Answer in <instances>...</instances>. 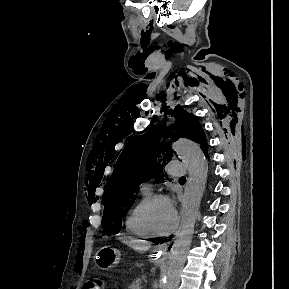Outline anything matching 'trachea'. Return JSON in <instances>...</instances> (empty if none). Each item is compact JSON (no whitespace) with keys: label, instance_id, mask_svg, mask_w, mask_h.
<instances>
[{"label":"trachea","instance_id":"trachea-1","mask_svg":"<svg viewBox=\"0 0 289 289\" xmlns=\"http://www.w3.org/2000/svg\"><path fill=\"white\" fill-rule=\"evenodd\" d=\"M180 180H185V177H181Z\"/></svg>","mask_w":289,"mask_h":289}]
</instances>
